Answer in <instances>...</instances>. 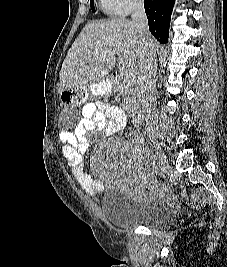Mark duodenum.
<instances>
[{"label":"duodenum","mask_w":227,"mask_h":267,"mask_svg":"<svg viewBox=\"0 0 227 267\" xmlns=\"http://www.w3.org/2000/svg\"><path fill=\"white\" fill-rule=\"evenodd\" d=\"M120 80V76L119 75H114L112 78H111V81L116 84L117 82H119ZM129 112L133 118V120L135 122H139L142 118V115H143V110L142 109H138V108H129Z\"/></svg>","instance_id":"1"}]
</instances>
